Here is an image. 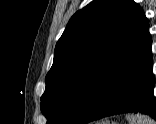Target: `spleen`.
<instances>
[{"mask_svg":"<svg viewBox=\"0 0 156 124\" xmlns=\"http://www.w3.org/2000/svg\"><path fill=\"white\" fill-rule=\"evenodd\" d=\"M127 119L130 124H156L150 117L146 115H128Z\"/></svg>","mask_w":156,"mask_h":124,"instance_id":"obj_1","label":"spleen"}]
</instances>
